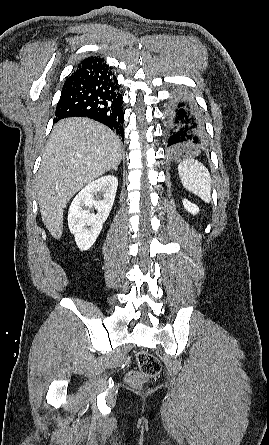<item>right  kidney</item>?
<instances>
[{"label": "right kidney", "instance_id": "ca27d5eb", "mask_svg": "<svg viewBox=\"0 0 269 445\" xmlns=\"http://www.w3.org/2000/svg\"><path fill=\"white\" fill-rule=\"evenodd\" d=\"M117 186L115 176H104L85 186L72 201L68 212V226L81 250H88L99 236L112 209ZM100 191L104 193L103 200L97 201L94 194ZM87 207H95L97 212L90 214L85 210Z\"/></svg>", "mask_w": 269, "mask_h": 445}]
</instances>
